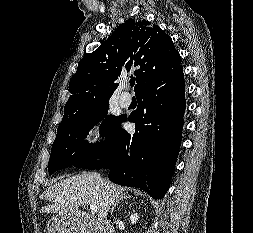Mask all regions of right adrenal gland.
Listing matches in <instances>:
<instances>
[{
  "label": "right adrenal gland",
  "mask_w": 253,
  "mask_h": 233,
  "mask_svg": "<svg viewBox=\"0 0 253 233\" xmlns=\"http://www.w3.org/2000/svg\"><path fill=\"white\" fill-rule=\"evenodd\" d=\"M131 198V196H127V195H124L122 196L121 198H119L118 200H116V202L113 204L112 208H111V213H113L115 211V208L116 206L124 199H129Z\"/></svg>",
  "instance_id": "2a0ac1e0"
}]
</instances>
